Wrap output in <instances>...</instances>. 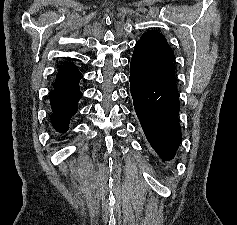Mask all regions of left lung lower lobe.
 <instances>
[{"mask_svg":"<svg viewBox=\"0 0 237 225\" xmlns=\"http://www.w3.org/2000/svg\"><path fill=\"white\" fill-rule=\"evenodd\" d=\"M129 80L134 109L148 142L163 161L171 160L182 140L176 85L150 86L132 73Z\"/></svg>","mask_w":237,"mask_h":225,"instance_id":"0a47b994","label":"left lung lower lobe"}]
</instances>
